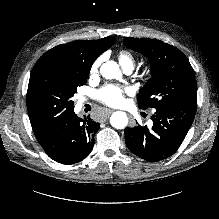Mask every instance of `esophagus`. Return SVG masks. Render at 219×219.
I'll return each instance as SVG.
<instances>
[{"label":"esophagus","instance_id":"1","mask_svg":"<svg viewBox=\"0 0 219 219\" xmlns=\"http://www.w3.org/2000/svg\"><path fill=\"white\" fill-rule=\"evenodd\" d=\"M113 111H114L113 109H108V110L106 111V113H107L108 115H110Z\"/></svg>","mask_w":219,"mask_h":219}]
</instances>
